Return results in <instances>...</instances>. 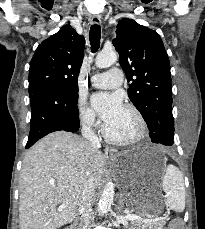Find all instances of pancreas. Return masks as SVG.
I'll list each match as a JSON object with an SVG mask.
<instances>
[{
  "mask_svg": "<svg viewBox=\"0 0 205 229\" xmlns=\"http://www.w3.org/2000/svg\"><path fill=\"white\" fill-rule=\"evenodd\" d=\"M150 226L154 227L155 229H158L159 223H150Z\"/></svg>",
  "mask_w": 205,
  "mask_h": 229,
  "instance_id": "pancreas-1",
  "label": "pancreas"
}]
</instances>
